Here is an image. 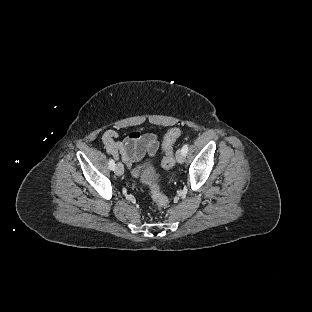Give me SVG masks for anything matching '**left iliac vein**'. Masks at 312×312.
Returning <instances> with one entry per match:
<instances>
[{
  "label": "left iliac vein",
  "instance_id": "left-iliac-vein-1",
  "mask_svg": "<svg viewBox=\"0 0 312 312\" xmlns=\"http://www.w3.org/2000/svg\"><path fill=\"white\" fill-rule=\"evenodd\" d=\"M176 160L178 163L182 164L185 161V155L183 154L182 150H178L176 153Z\"/></svg>",
  "mask_w": 312,
  "mask_h": 312
}]
</instances>
